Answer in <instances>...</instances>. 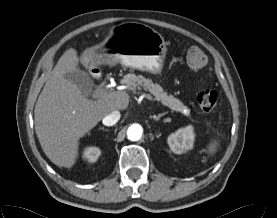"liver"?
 <instances>
[{
  "mask_svg": "<svg viewBox=\"0 0 277 218\" xmlns=\"http://www.w3.org/2000/svg\"><path fill=\"white\" fill-rule=\"evenodd\" d=\"M89 68L96 65L92 55ZM79 58L74 48L66 50L58 60L34 110L35 132L40 145L52 163L72 167L78 157L79 139L114 110H124L129 104L125 92L104 93L97 100L84 97L81 90L65 78L67 72L78 69Z\"/></svg>",
  "mask_w": 277,
  "mask_h": 218,
  "instance_id": "liver-1",
  "label": "liver"
}]
</instances>
